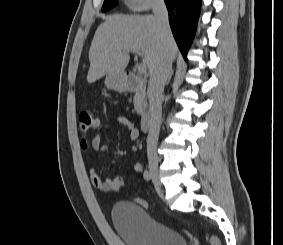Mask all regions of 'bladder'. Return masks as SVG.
I'll use <instances>...</instances> for the list:
<instances>
[{
	"instance_id": "31cf9c89",
	"label": "bladder",
	"mask_w": 283,
	"mask_h": 245,
	"mask_svg": "<svg viewBox=\"0 0 283 245\" xmlns=\"http://www.w3.org/2000/svg\"><path fill=\"white\" fill-rule=\"evenodd\" d=\"M111 217L125 245H187L181 233L154 220L142 206L134 202H116Z\"/></svg>"
}]
</instances>
